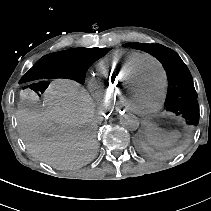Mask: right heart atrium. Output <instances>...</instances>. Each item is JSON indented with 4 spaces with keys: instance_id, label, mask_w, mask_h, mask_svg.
Wrapping results in <instances>:
<instances>
[{
    "instance_id": "obj_1",
    "label": "right heart atrium",
    "mask_w": 211,
    "mask_h": 211,
    "mask_svg": "<svg viewBox=\"0 0 211 211\" xmlns=\"http://www.w3.org/2000/svg\"><path fill=\"white\" fill-rule=\"evenodd\" d=\"M89 87H90L91 91L93 92V95H94L96 101L98 102V104L100 106H104L105 105L104 96L101 93V90L97 84L96 79L90 80Z\"/></svg>"
}]
</instances>
